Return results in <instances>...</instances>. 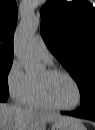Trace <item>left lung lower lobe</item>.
Masks as SVG:
<instances>
[{"label": "left lung lower lobe", "instance_id": "obj_1", "mask_svg": "<svg viewBox=\"0 0 95 130\" xmlns=\"http://www.w3.org/2000/svg\"><path fill=\"white\" fill-rule=\"evenodd\" d=\"M62 114L95 121V96L90 97L80 108L74 112H62Z\"/></svg>", "mask_w": 95, "mask_h": 130}]
</instances>
